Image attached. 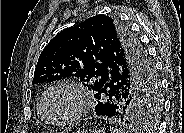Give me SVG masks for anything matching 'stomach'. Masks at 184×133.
<instances>
[{"label": "stomach", "mask_w": 184, "mask_h": 133, "mask_svg": "<svg viewBox=\"0 0 184 133\" xmlns=\"http://www.w3.org/2000/svg\"><path fill=\"white\" fill-rule=\"evenodd\" d=\"M82 133H88L87 131H83Z\"/></svg>", "instance_id": "1"}]
</instances>
